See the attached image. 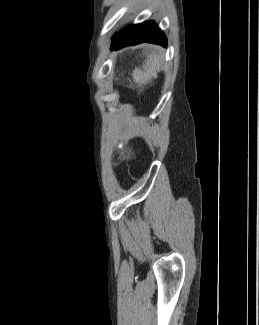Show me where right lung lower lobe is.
Listing matches in <instances>:
<instances>
[{
    "instance_id": "right-lung-lower-lobe-1",
    "label": "right lung lower lobe",
    "mask_w": 259,
    "mask_h": 325,
    "mask_svg": "<svg viewBox=\"0 0 259 325\" xmlns=\"http://www.w3.org/2000/svg\"><path fill=\"white\" fill-rule=\"evenodd\" d=\"M167 45L166 36L153 21L132 25L113 38L111 50H118L139 43Z\"/></svg>"
}]
</instances>
